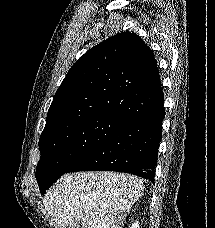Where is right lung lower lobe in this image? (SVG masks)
<instances>
[{"label": "right lung lower lobe", "mask_w": 215, "mask_h": 228, "mask_svg": "<svg viewBox=\"0 0 215 228\" xmlns=\"http://www.w3.org/2000/svg\"><path fill=\"white\" fill-rule=\"evenodd\" d=\"M164 114L162 102L126 120L67 172L103 170L125 172L154 183Z\"/></svg>", "instance_id": "right-lung-lower-lobe-1"}]
</instances>
